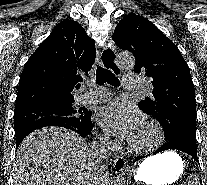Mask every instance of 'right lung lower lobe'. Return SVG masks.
I'll return each mask as SVG.
<instances>
[{"label":"right lung lower lobe","instance_id":"98d812e1","mask_svg":"<svg viewBox=\"0 0 207 185\" xmlns=\"http://www.w3.org/2000/svg\"><path fill=\"white\" fill-rule=\"evenodd\" d=\"M46 126H61V125L50 124V125H45V126H42V127H46ZM42 127H39V128H42ZM61 127L68 128L70 130H73V131L77 132L82 137H86L92 131L93 124H92L91 121H89L85 124H81V125H78V126H61ZM39 128H37V129H39ZM34 130H36V129H29V130L20 132L19 134L15 135V137H16V149L18 148V146L22 142V140Z\"/></svg>","mask_w":207,"mask_h":185}]
</instances>
